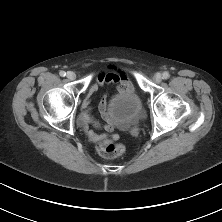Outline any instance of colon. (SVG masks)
I'll list each match as a JSON object with an SVG mask.
<instances>
[{
	"label": "colon",
	"instance_id": "5ec220e1",
	"mask_svg": "<svg viewBox=\"0 0 222 222\" xmlns=\"http://www.w3.org/2000/svg\"><path fill=\"white\" fill-rule=\"evenodd\" d=\"M98 152L106 158H117L125 153V148L121 144L111 142H100L97 145Z\"/></svg>",
	"mask_w": 222,
	"mask_h": 222
}]
</instances>
